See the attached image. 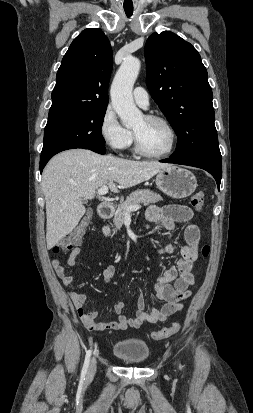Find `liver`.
<instances>
[{
  "instance_id": "obj_1",
  "label": "liver",
  "mask_w": 253,
  "mask_h": 413,
  "mask_svg": "<svg viewBox=\"0 0 253 413\" xmlns=\"http://www.w3.org/2000/svg\"><path fill=\"white\" fill-rule=\"evenodd\" d=\"M170 166L101 156L85 149L67 150L54 156L42 174L47 249H52L78 225L86 212L83 197L93 199L96 190L104 185L118 193L149 180Z\"/></svg>"
}]
</instances>
